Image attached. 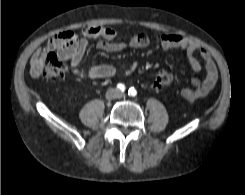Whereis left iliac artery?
Instances as JSON below:
<instances>
[{
	"instance_id": "left-iliac-artery-1",
	"label": "left iliac artery",
	"mask_w": 245,
	"mask_h": 195,
	"mask_svg": "<svg viewBox=\"0 0 245 195\" xmlns=\"http://www.w3.org/2000/svg\"><path fill=\"white\" fill-rule=\"evenodd\" d=\"M128 94H129V96H135L137 94V92L134 88H130L128 90Z\"/></svg>"
}]
</instances>
